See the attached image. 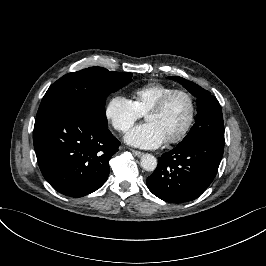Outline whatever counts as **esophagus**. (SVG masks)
Returning a JSON list of instances; mask_svg holds the SVG:
<instances>
[{
    "instance_id": "34e87169",
    "label": "esophagus",
    "mask_w": 266,
    "mask_h": 266,
    "mask_svg": "<svg viewBox=\"0 0 266 266\" xmlns=\"http://www.w3.org/2000/svg\"><path fill=\"white\" fill-rule=\"evenodd\" d=\"M131 152L137 157H140L143 154V152L134 149H131Z\"/></svg>"
}]
</instances>
